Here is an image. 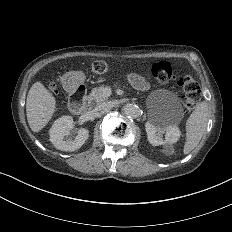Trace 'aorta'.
Returning a JSON list of instances; mask_svg holds the SVG:
<instances>
[{"mask_svg": "<svg viewBox=\"0 0 232 232\" xmlns=\"http://www.w3.org/2000/svg\"><path fill=\"white\" fill-rule=\"evenodd\" d=\"M123 113L129 118H137L140 115V108L136 104H126L122 108Z\"/></svg>", "mask_w": 232, "mask_h": 232, "instance_id": "1", "label": "aorta"}]
</instances>
